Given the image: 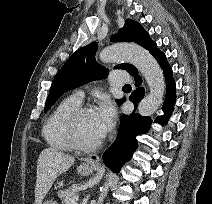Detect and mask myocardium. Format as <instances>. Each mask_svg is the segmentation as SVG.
<instances>
[{
    "label": "myocardium",
    "instance_id": "1",
    "mask_svg": "<svg viewBox=\"0 0 212 204\" xmlns=\"http://www.w3.org/2000/svg\"><path fill=\"white\" fill-rule=\"evenodd\" d=\"M91 112H95L93 107L79 106L76 109L72 110L64 119L63 130L69 144L74 150L80 152H91L98 149L103 143L104 137L90 145L82 143L79 139L77 131L78 122L82 116Z\"/></svg>",
    "mask_w": 212,
    "mask_h": 204
}]
</instances>
